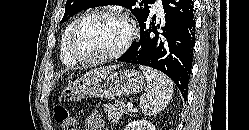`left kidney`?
Here are the masks:
<instances>
[{
	"label": "left kidney",
	"instance_id": "obj_1",
	"mask_svg": "<svg viewBox=\"0 0 249 130\" xmlns=\"http://www.w3.org/2000/svg\"><path fill=\"white\" fill-rule=\"evenodd\" d=\"M125 130H155V126L147 120H134L126 126Z\"/></svg>",
	"mask_w": 249,
	"mask_h": 130
}]
</instances>
